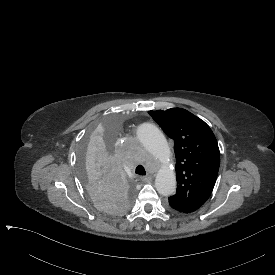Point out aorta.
<instances>
[{
  "mask_svg": "<svg viewBox=\"0 0 275 275\" xmlns=\"http://www.w3.org/2000/svg\"><path fill=\"white\" fill-rule=\"evenodd\" d=\"M136 135L142 143L150 145L148 152L152 159L160 161L167 157L169 149L166 139L156 125L143 122L138 125ZM155 187L158 194L163 197L175 195V173L170 169L160 170L155 179Z\"/></svg>",
  "mask_w": 275,
  "mask_h": 275,
  "instance_id": "1",
  "label": "aorta"
}]
</instances>
